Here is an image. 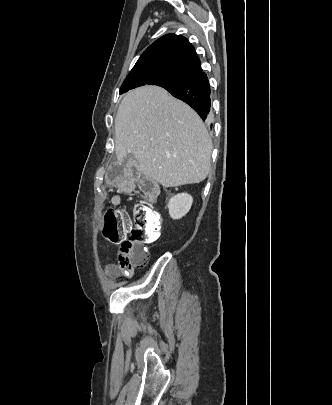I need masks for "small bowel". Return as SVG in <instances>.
Instances as JSON below:
<instances>
[{
	"label": "small bowel",
	"mask_w": 332,
	"mask_h": 405,
	"mask_svg": "<svg viewBox=\"0 0 332 405\" xmlns=\"http://www.w3.org/2000/svg\"><path fill=\"white\" fill-rule=\"evenodd\" d=\"M110 167V172H103L102 174V179L106 186H140L141 172H126L127 166L125 162H112ZM111 204L118 206L120 199L113 197ZM106 272L113 277L121 275V269L116 264H108Z\"/></svg>",
	"instance_id": "small-bowel-1"
}]
</instances>
